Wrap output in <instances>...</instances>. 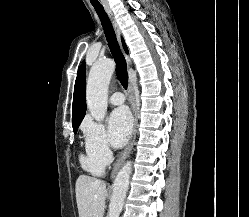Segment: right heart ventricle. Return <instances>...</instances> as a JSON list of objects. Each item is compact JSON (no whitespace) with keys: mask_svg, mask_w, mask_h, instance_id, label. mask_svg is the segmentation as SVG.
<instances>
[{"mask_svg":"<svg viewBox=\"0 0 249 217\" xmlns=\"http://www.w3.org/2000/svg\"><path fill=\"white\" fill-rule=\"evenodd\" d=\"M82 167L93 175H100L103 172L104 166L92 159L89 155L81 156Z\"/></svg>","mask_w":249,"mask_h":217,"instance_id":"1","label":"right heart ventricle"}]
</instances>
